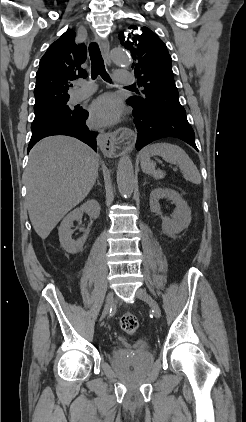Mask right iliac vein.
Instances as JSON below:
<instances>
[{"mask_svg":"<svg viewBox=\"0 0 246 422\" xmlns=\"http://www.w3.org/2000/svg\"><path fill=\"white\" fill-rule=\"evenodd\" d=\"M113 304H114V294H113L112 291H110L107 294L106 302H105V305H104V308H103V311H102L100 320H103L107 316V314L109 313V310L113 306Z\"/></svg>","mask_w":246,"mask_h":422,"instance_id":"right-iliac-vein-1","label":"right iliac vein"}]
</instances>
